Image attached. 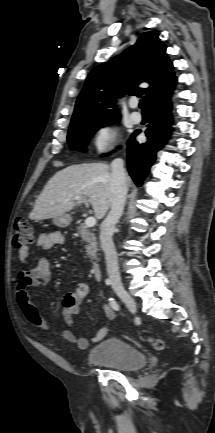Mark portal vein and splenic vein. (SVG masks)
I'll return each instance as SVG.
<instances>
[{"label":"portal vein and splenic vein","instance_id":"portal-vein-and-splenic-vein-1","mask_svg":"<svg viewBox=\"0 0 215 433\" xmlns=\"http://www.w3.org/2000/svg\"><path fill=\"white\" fill-rule=\"evenodd\" d=\"M75 200H77V201H81V200H82V197H80V196H75ZM85 225L88 226V227H93V226H95V225H96V218H94V217H88V218H86V220H85Z\"/></svg>","mask_w":215,"mask_h":433}]
</instances>
